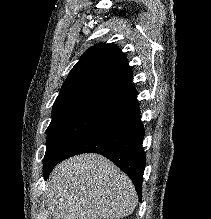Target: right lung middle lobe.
Returning a JSON list of instances; mask_svg holds the SVG:
<instances>
[{
    "instance_id": "dd1d6c3e",
    "label": "right lung middle lobe",
    "mask_w": 211,
    "mask_h": 219,
    "mask_svg": "<svg viewBox=\"0 0 211 219\" xmlns=\"http://www.w3.org/2000/svg\"><path fill=\"white\" fill-rule=\"evenodd\" d=\"M117 108L114 104L91 98L54 104L52 121L47 129L44 178L76 141Z\"/></svg>"
}]
</instances>
